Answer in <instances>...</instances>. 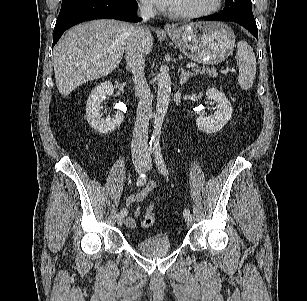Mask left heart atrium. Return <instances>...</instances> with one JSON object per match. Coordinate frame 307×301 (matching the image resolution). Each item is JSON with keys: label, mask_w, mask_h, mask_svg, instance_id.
<instances>
[{"label": "left heart atrium", "mask_w": 307, "mask_h": 301, "mask_svg": "<svg viewBox=\"0 0 307 301\" xmlns=\"http://www.w3.org/2000/svg\"><path fill=\"white\" fill-rule=\"evenodd\" d=\"M148 1L161 9H171V10H173L177 2V0H148Z\"/></svg>", "instance_id": "left-heart-atrium-1"}]
</instances>
